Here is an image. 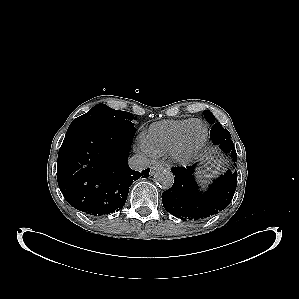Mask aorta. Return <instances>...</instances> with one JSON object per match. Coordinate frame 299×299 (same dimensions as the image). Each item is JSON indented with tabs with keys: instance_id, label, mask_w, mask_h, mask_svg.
<instances>
[{
	"instance_id": "aorta-1",
	"label": "aorta",
	"mask_w": 299,
	"mask_h": 299,
	"mask_svg": "<svg viewBox=\"0 0 299 299\" xmlns=\"http://www.w3.org/2000/svg\"><path fill=\"white\" fill-rule=\"evenodd\" d=\"M154 181L159 187L166 190L172 187L174 183V175L168 169H160L155 173Z\"/></svg>"
}]
</instances>
